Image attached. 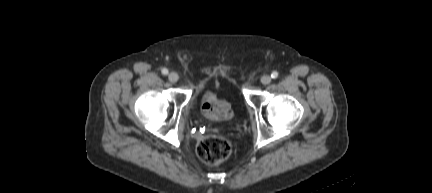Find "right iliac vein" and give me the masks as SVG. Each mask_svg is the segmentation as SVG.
I'll return each mask as SVG.
<instances>
[{"instance_id":"63e3f726","label":"right iliac vein","mask_w":432,"mask_h":193,"mask_svg":"<svg viewBox=\"0 0 432 193\" xmlns=\"http://www.w3.org/2000/svg\"><path fill=\"white\" fill-rule=\"evenodd\" d=\"M168 80H169L171 83H176V82L178 81V75H177L175 72H171V73H169V75H168Z\"/></svg>"}]
</instances>
